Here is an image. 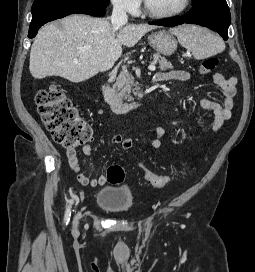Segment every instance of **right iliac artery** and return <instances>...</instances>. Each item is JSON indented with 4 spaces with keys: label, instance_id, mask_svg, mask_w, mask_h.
<instances>
[{
    "label": "right iliac artery",
    "instance_id": "1",
    "mask_svg": "<svg viewBox=\"0 0 255 272\" xmlns=\"http://www.w3.org/2000/svg\"><path fill=\"white\" fill-rule=\"evenodd\" d=\"M71 204H72V201H70V204H69V206H68V208H67V210H66V213H65V218H64V220H65V223H66V224H68V222H69V220H70V216H71V211H70V209H71Z\"/></svg>",
    "mask_w": 255,
    "mask_h": 272
}]
</instances>
